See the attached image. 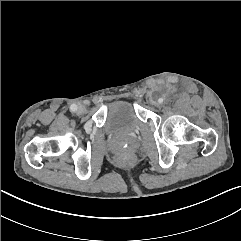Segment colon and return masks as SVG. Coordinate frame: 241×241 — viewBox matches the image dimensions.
Returning <instances> with one entry per match:
<instances>
[{"label":"colon","instance_id":"5ec220e1","mask_svg":"<svg viewBox=\"0 0 241 241\" xmlns=\"http://www.w3.org/2000/svg\"><path fill=\"white\" fill-rule=\"evenodd\" d=\"M120 160H121V161H128V157H126V156H121V157H120Z\"/></svg>","mask_w":241,"mask_h":241}]
</instances>
